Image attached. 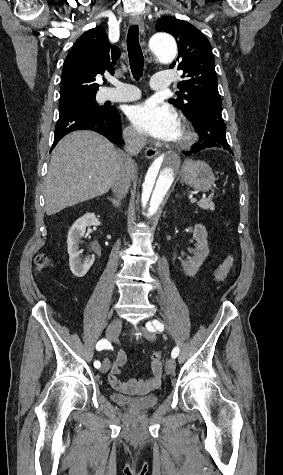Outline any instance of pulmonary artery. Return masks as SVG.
Segmentation results:
<instances>
[{
	"mask_svg": "<svg viewBox=\"0 0 283 475\" xmlns=\"http://www.w3.org/2000/svg\"><path fill=\"white\" fill-rule=\"evenodd\" d=\"M115 87H104L102 93L104 96H118L112 98V102H129L134 101L137 98L132 96H138L141 94V89L138 87H133L129 83L122 84H112ZM171 87V82L168 80H152L151 88L152 89H168Z\"/></svg>",
	"mask_w": 283,
	"mask_h": 475,
	"instance_id": "pulmonary-artery-1",
	"label": "pulmonary artery"
}]
</instances>
